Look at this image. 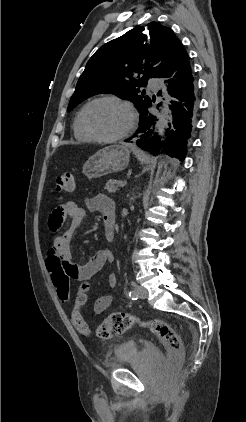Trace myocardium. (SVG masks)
Instances as JSON below:
<instances>
[{
  "instance_id": "f54148a6",
  "label": "myocardium",
  "mask_w": 246,
  "mask_h": 422,
  "mask_svg": "<svg viewBox=\"0 0 246 422\" xmlns=\"http://www.w3.org/2000/svg\"><path fill=\"white\" fill-rule=\"evenodd\" d=\"M102 101H113L116 102L120 105H122L128 112V116H129V122L128 125L126 127V129L121 132L118 135L112 136V137H103L100 136L98 134H96L90 127L89 122H88V112L89 109L96 103L102 102ZM81 121H82V126L83 129L85 130V132L88 134V136L97 142H101V143H114L117 141H120L124 138H126L127 136H129L131 134V132L133 131L135 124H136V113L135 110L133 108V106L131 105L130 102H128L127 100L116 96V95H104V96H100L97 97L93 100H91L90 102H88L82 111V116H81Z\"/></svg>"
}]
</instances>
